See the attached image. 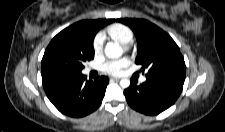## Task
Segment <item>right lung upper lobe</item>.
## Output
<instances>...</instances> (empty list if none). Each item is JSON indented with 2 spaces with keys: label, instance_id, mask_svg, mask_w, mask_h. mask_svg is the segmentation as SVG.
<instances>
[{
  "label": "right lung upper lobe",
  "instance_id": "right-lung-upper-lobe-1",
  "mask_svg": "<svg viewBox=\"0 0 225 132\" xmlns=\"http://www.w3.org/2000/svg\"><path fill=\"white\" fill-rule=\"evenodd\" d=\"M114 21H115L114 19L84 20V21L77 22V23H75V24L67 27L63 31H74V30H77L79 27H82L84 25H87V26H89L92 29L93 34L95 36V34L97 33V31L100 28H102L103 26H105V25H107L109 23H112ZM53 79H55V77H51V76H47V75H42L43 83H47V82H49V81H51Z\"/></svg>",
  "mask_w": 225,
  "mask_h": 132
}]
</instances>
